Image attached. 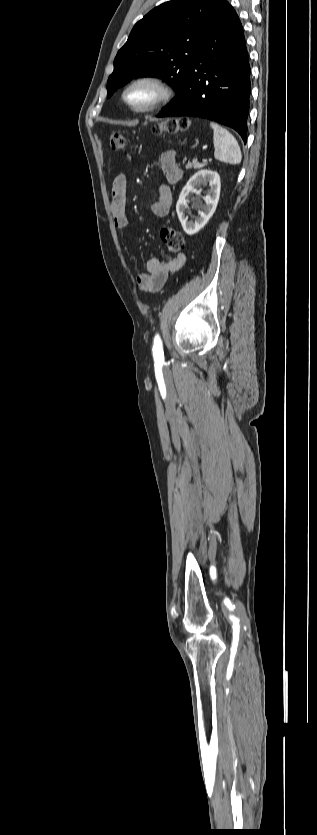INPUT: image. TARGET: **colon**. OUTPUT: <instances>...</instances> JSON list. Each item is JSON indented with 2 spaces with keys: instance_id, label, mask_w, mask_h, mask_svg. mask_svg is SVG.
<instances>
[{
  "instance_id": "colon-1",
  "label": "colon",
  "mask_w": 317,
  "mask_h": 835,
  "mask_svg": "<svg viewBox=\"0 0 317 835\" xmlns=\"http://www.w3.org/2000/svg\"><path fill=\"white\" fill-rule=\"evenodd\" d=\"M189 126L190 120L187 118H171L158 125L155 132L158 134H176L187 131ZM109 143L111 149L122 151L125 149L126 139L121 133L114 132L109 137ZM160 237L168 253L176 254L184 247L183 235L170 225L161 227Z\"/></svg>"
}]
</instances>
